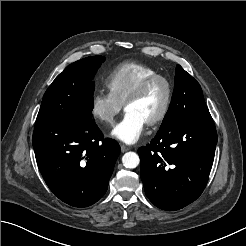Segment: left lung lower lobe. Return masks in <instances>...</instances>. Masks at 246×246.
Returning <instances> with one entry per match:
<instances>
[{"label": "left lung lower lobe", "mask_w": 246, "mask_h": 246, "mask_svg": "<svg viewBox=\"0 0 246 246\" xmlns=\"http://www.w3.org/2000/svg\"><path fill=\"white\" fill-rule=\"evenodd\" d=\"M216 144L209 112L179 119L158 131L150 144L138 149L149 200L168 211L195 201L207 184Z\"/></svg>", "instance_id": "1"}]
</instances>
